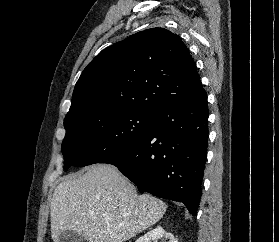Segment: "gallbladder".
Segmentation results:
<instances>
[{"instance_id":"bac80fb5","label":"gallbladder","mask_w":279,"mask_h":242,"mask_svg":"<svg viewBox=\"0 0 279 242\" xmlns=\"http://www.w3.org/2000/svg\"><path fill=\"white\" fill-rule=\"evenodd\" d=\"M59 242H85V238L72 231H63L59 234Z\"/></svg>"}]
</instances>
